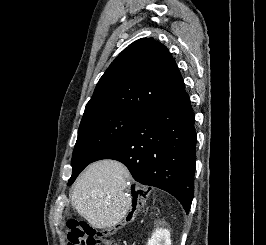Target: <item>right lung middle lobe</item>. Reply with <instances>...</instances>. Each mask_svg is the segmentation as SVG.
<instances>
[{
  "instance_id": "right-lung-middle-lobe-1",
  "label": "right lung middle lobe",
  "mask_w": 266,
  "mask_h": 245,
  "mask_svg": "<svg viewBox=\"0 0 266 245\" xmlns=\"http://www.w3.org/2000/svg\"><path fill=\"white\" fill-rule=\"evenodd\" d=\"M144 114L106 110L82 118L72 156L71 185L78 174L102 152L113 146Z\"/></svg>"
}]
</instances>
